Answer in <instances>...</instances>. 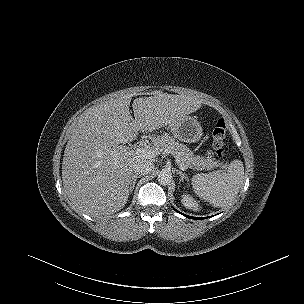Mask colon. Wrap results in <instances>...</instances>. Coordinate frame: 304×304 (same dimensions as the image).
<instances>
[{"label":"colon","instance_id":"colon-1","mask_svg":"<svg viewBox=\"0 0 304 304\" xmlns=\"http://www.w3.org/2000/svg\"><path fill=\"white\" fill-rule=\"evenodd\" d=\"M226 123L223 119H220L212 134V139H213V146L216 150V153L219 157L224 156V143H225V138H226Z\"/></svg>","mask_w":304,"mask_h":304}]
</instances>
